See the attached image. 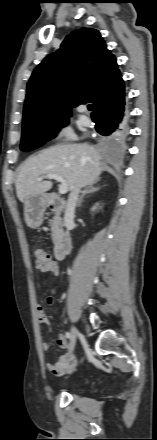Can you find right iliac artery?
I'll return each mask as SVG.
<instances>
[{"label":"right iliac artery","instance_id":"1","mask_svg":"<svg viewBox=\"0 0 157 440\" xmlns=\"http://www.w3.org/2000/svg\"><path fill=\"white\" fill-rule=\"evenodd\" d=\"M65 334H66V338H68V339L71 338V333L69 331H67Z\"/></svg>","mask_w":157,"mask_h":440}]
</instances>
